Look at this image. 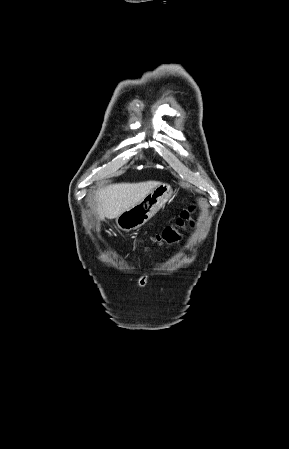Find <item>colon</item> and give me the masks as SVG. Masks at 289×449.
Segmentation results:
<instances>
[{
	"label": "colon",
	"instance_id": "colon-1",
	"mask_svg": "<svg viewBox=\"0 0 289 449\" xmlns=\"http://www.w3.org/2000/svg\"><path fill=\"white\" fill-rule=\"evenodd\" d=\"M194 212V207L191 206L184 210L180 217L177 218L175 224L166 226L160 233L152 236L150 241L157 244L173 243L179 240L180 235L178 230L185 227L187 224L192 225L191 214Z\"/></svg>",
	"mask_w": 289,
	"mask_h": 449
}]
</instances>
